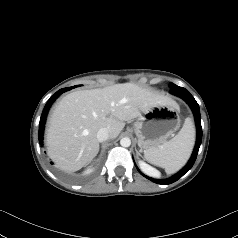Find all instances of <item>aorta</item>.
<instances>
[{"instance_id": "aorta-1", "label": "aorta", "mask_w": 238, "mask_h": 238, "mask_svg": "<svg viewBox=\"0 0 238 238\" xmlns=\"http://www.w3.org/2000/svg\"><path fill=\"white\" fill-rule=\"evenodd\" d=\"M120 144L122 147H129L131 145V140L128 137H124L120 140Z\"/></svg>"}]
</instances>
